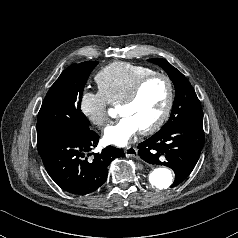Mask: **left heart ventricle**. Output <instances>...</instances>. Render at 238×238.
<instances>
[{
    "mask_svg": "<svg viewBox=\"0 0 238 238\" xmlns=\"http://www.w3.org/2000/svg\"><path fill=\"white\" fill-rule=\"evenodd\" d=\"M168 97L166 83L155 79L148 83L131 105L121 106L120 114L132 118L140 130L150 126L162 113Z\"/></svg>",
    "mask_w": 238,
    "mask_h": 238,
    "instance_id": "1",
    "label": "left heart ventricle"
}]
</instances>
